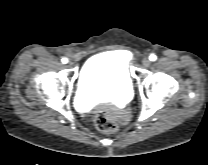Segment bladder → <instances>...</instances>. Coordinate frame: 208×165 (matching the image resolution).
<instances>
[{
  "mask_svg": "<svg viewBox=\"0 0 208 165\" xmlns=\"http://www.w3.org/2000/svg\"><path fill=\"white\" fill-rule=\"evenodd\" d=\"M80 101H111L117 105L129 101L133 93L127 61L121 51L93 55L84 63L77 87Z\"/></svg>",
  "mask_w": 208,
  "mask_h": 165,
  "instance_id": "1",
  "label": "bladder"
}]
</instances>
